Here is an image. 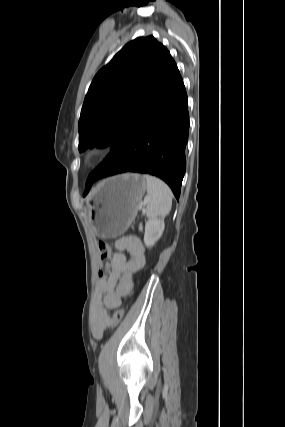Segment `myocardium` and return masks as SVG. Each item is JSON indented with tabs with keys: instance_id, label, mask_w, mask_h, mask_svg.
I'll use <instances>...</instances> for the list:
<instances>
[{
	"instance_id": "1",
	"label": "myocardium",
	"mask_w": 285,
	"mask_h": 427,
	"mask_svg": "<svg viewBox=\"0 0 285 427\" xmlns=\"http://www.w3.org/2000/svg\"><path fill=\"white\" fill-rule=\"evenodd\" d=\"M103 152L104 148L102 146H95L89 151L88 158L92 160L97 159L103 154Z\"/></svg>"
}]
</instances>
